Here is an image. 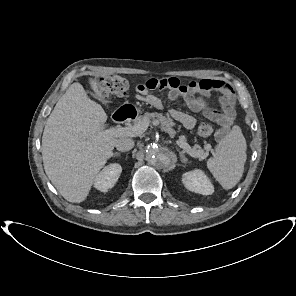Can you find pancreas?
<instances>
[{
  "mask_svg": "<svg viewBox=\"0 0 296 296\" xmlns=\"http://www.w3.org/2000/svg\"><path fill=\"white\" fill-rule=\"evenodd\" d=\"M142 121H148L155 123V125H160V128L167 132L169 135L173 136L175 134V131L173 130V126L175 125L173 120L169 117H165L161 113H145L143 116H139L135 122L134 125L142 122ZM195 151H199L200 155L198 157L203 156V152L201 150H196V147L193 148Z\"/></svg>",
  "mask_w": 296,
  "mask_h": 296,
  "instance_id": "1",
  "label": "pancreas"
}]
</instances>
